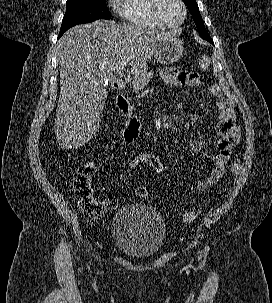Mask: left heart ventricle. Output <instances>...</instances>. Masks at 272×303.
<instances>
[{
  "mask_svg": "<svg viewBox=\"0 0 272 303\" xmlns=\"http://www.w3.org/2000/svg\"><path fill=\"white\" fill-rule=\"evenodd\" d=\"M162 16L170 24H175L182 17V10L176 0H164L162 5Z\"/></svg>",
  "mask_w": 272,
  "mask_h": 303,
  "instance_id": "b2bd125f",
  "label": "left heart ventricle"
}]
</instances>
